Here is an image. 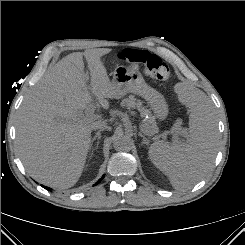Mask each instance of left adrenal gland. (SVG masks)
<instances>
[{
  "mask_svg": "<svg viewBox=\"0 0 245 245\" xmlns=\"http://www.w3.org/2000/svg\"><path fill=\"white\" fill-rule=\"evenodd\" d=\"M139 136L140 137H142V139H143V141H142V143H141V145H149V140L141 133V132H139Z\"/></svg>",
  "mask_w": 245,
  "mask_h": 245,
  "instance_id": "obj_1",
  "label": "left adrenal gland"
}]
</instances>
